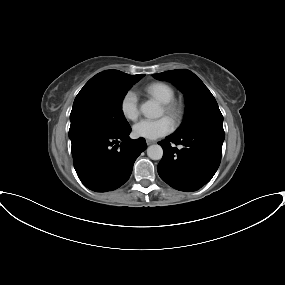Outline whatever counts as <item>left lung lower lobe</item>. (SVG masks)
<instances>
[{
    "label": "left lung lower lobe",
    "instance_id": "0a47b994",
    "mask_svg": "<svg viewBox=\"0 0 285 285\" xmlns=\"http://www.w3.org/2000/svg\"><path fill=\"white\" fill-rule=\"evenodd\" d=\"M224 130L203 127L186 135L172 134L159 142L163 157L157 170L163 181L185 192L196 191L217 171L224 141ZM171 143L181 144L178 150Z\"/></svg>",
    "mask_w": 285,
    "mask_h": 285
}]
</instances>
